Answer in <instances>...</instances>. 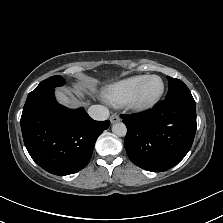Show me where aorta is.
<instances>
[{
	"label": "aorta",
	"instance_id": "aorta-1",
	"mask_svg": "<svg viewBox=\"0 0 223 223\" xmlns=\"http://www.w3.org/2000/svg\"><path fill=\"white\" fill-rule=\"evenodd\" d=\"M112 132L117 136L122 137L126 135L127 129L124 123L118 122L112 125Z\"/></svg>",
	"mask_w": 223,
	"mask_h": 223
}]
</instances>
